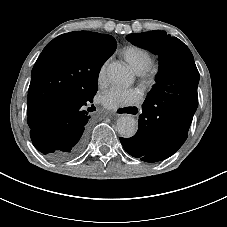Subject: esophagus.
Returning a JSON list of instances; mask_svg holds the SVG:
<instances>
[{
    "label": "esophagus",
    "mask_w": 227,
    "mask_h": 227,
    "mask_svg": "<svg viewBox=\"0 0 227 227\" xmlns=\"http://www.w3.org/2000/svg\"><path fill=\"white\" fill-rule=\"evenodd\" d=\"M139 110H140V107L139 106H129V107H126V106H120L117 108V113L120 114V115H126V114H133V116H136L138 113H139ZM136 114V115H135Z\"/></svg>",
    "instance_id": "1"
}]
</instances>
